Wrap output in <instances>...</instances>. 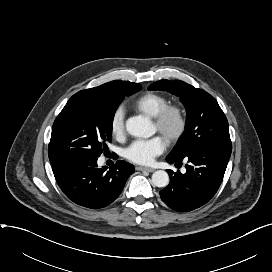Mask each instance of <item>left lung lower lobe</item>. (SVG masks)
I'll return each instance as SVG.
<instances>
[{
    "label": "left lung lower lobe",
    "mask_w": 272,
    "mask_h": 272,
    "mask_svg": "<svg viewBox=\"0 0 272 272\" xmlns=\"http://www.w3.org/2000/svg\"><path fill=\"white\" fill-rule=\"evenodd\" d=\"M231 145H213L200 148L184 158L167 156L169 163L182 164L186 173L173 174L167 170L170 183L160 191L164 203L179 212H188L206 204L217 192L231 155Z\"/></svg>",
    "instance_id": "0a47b994"
}]
</instances>
